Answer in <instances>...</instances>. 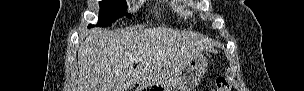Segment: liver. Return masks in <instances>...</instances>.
Listing matches in <instances>:
<instances>
[{"label":"liver","instance_id":"6515ba94","mask_svg":"<svg viewBox=\"0 0 304 91\" xmlns=\"http://www.w3.org/2000/svg\"><path fill=\"white\" fill-rule=\"evenodd\" d=\"M214 51L209 40L189 31L128 28L86 33L78 49L73 91H128L135 84H162L196 53ZM134 57H141L134 68Z\"/></svg>","mask_w":304,"mask_h":91}]
</instances>
